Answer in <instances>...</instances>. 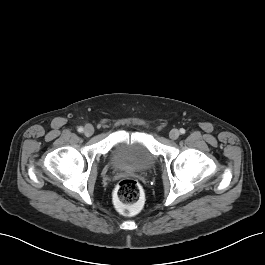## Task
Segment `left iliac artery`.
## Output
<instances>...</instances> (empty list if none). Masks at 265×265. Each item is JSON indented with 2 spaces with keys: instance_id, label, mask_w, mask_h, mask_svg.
I'll return each mask as SVG.
<instances>
[{
  "instance_id": "left-iliac-artery-1",
  "label": "left iliac artery",
  "mask_w": 265,
  "mask_h": 265,
  "mask_svg": "<svg viewBox=\"0 0 265 265\" xmlns=\"http://www.w3.org/2000/svg\"><path fill=\"white\" fill-rule=\"evenodd\" d=\"M180 133H181V134H184V133H185V129L181 128V129H180Z\"/></svg>"
}]
</instances>
